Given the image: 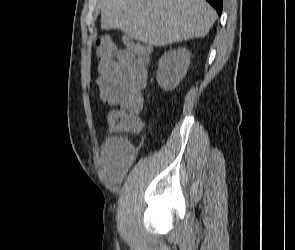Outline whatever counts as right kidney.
Segmentation results:
<instances>
[{
    "instance_id": "obj_1",
    "label": "right kidney",
    "mask_w": 295,
    "mask_h": 250,
    "mask_svg": "<svg viewBox=\"0 0 295 250\" xmlns=\"http://www.w3.org/2000/svg\"><path fill=\"white\" fill-rule=\"evenodd\" d=\"M190 58L191 53L185 47L165 52L159 60L158 85L165 91L173 90L186 75Z\"/></svg>"
}]
</instances>
